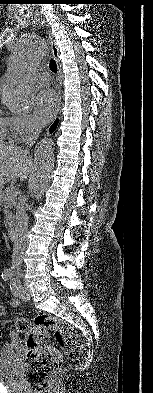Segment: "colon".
<instances>
[{
    "instance_id": "colon-1",
    "label": "colon",
    "mask_w": 153,
    "mask_h": 393,
    "mask_svg": "<svg viewBox=\"0 0 153 393\" xmlns=\"http://www.w3.org/2000/svg\"><path fill=\"white\" fill-rule=\"evenodd\" d=\"M12 324L26 337L28 352L22 377L33 393H44L47 384L62 366L61 352L47 345L49 331L54 333L61 349L70 359L76 360L82 354L83 342L76 331L57 317L39 314L33 323L27 318L18 317Z\"/></svg>"
}]
</instances>
